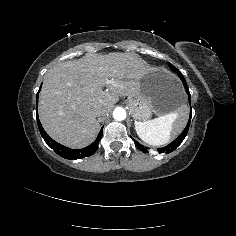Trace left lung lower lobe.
<instances>
[{
  "label": "left lung lower lobe",
  "instance_id": "1",
  "mask_svg": "<svg viewBox=\"0 0 236 236\" xmlns=\"http://www.w3.org/2000/svg\"><path fill=\"white\" fill-rule=\"evenodd\" d=\"M169 65V68L171 70H173L174 72L177 73V75L179 76V78L181 79V81L183 82V85L185 87V90L189 96V102H190V92H189V89L187 87V84H186V80L185 78L183 77V75L180 73V71L174 67L172 64H168ZM190 121H191V112H190V117H189V121L187 123V126L186 128L183 130V132L172 142L170 143L169 145L163 147V148H158V151L159 153H171L172 151H174L181 143L182 141L184 140V138L186 137L187 133H188V129H189V126H190ZM134 140V139H133ZM135 142V146L141 150L142 152L144 153H147V147H144L142 146L139 142H137L136 140H134Z\"/></svg>",
  "mask_w": 236,
  "mask_h": 236
}]
</instances>
